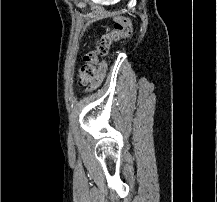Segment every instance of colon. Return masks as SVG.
Returning <instances> with one entry per match:
<instances>
[{
    "instance_id": "5ec220e1",
    "label": "colon",
    "mask_w": 217,
    "mask_h": 202,
    "mask_svg": "<svg viewBox=\"0 0 217 202\" xmlns=\"http://www.w3.org/2000/svg\"><path fill=\"white\" fill-rule=\"evenodd\" d=\"M131 33V21L128 17L118 15L112 26L96 41L94 48L86 51L82 55L83 64L78 69V82L85 86L87 92L96 90L103 82L106 64L104 57L107 55L111 45L115 42L126 39ZM97 71V72H95ZM97 73L95 80L86 86V81L94 79V74Z\"/></svg>"
}]
</instances>
